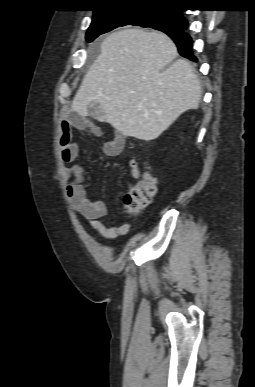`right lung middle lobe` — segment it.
<instances>
[{"mask_svg":"<svg viewBox=\"0 0 255 387\" xmlns=\"http://www.w3.org/2000/svg\"><path fill=\"white\" fill-rule=\"evenodd\" d=\"M134 25L160 31L182 29L188 22L178 11L169 8H130L94 14L86 40L92 42L99 35L117 27Z\"/></svg>","mask_w":255,"mask_h":387,"instance_id":"obj_1","label":"right lung middle lobe"}]
</instances>
